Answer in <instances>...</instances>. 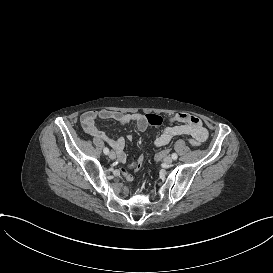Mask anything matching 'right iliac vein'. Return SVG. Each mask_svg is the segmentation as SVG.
<instances>
[{
  "label": "right iliac vein",
  "mask_w": 273,
  "mask_h": 273,
  "mask_svg": "<svg viewBox=\"0 0 273 273\" xmlns=\"http://www.w3.org/2000/svg\"><path fill=\"white\" fill-rule=\"evenodd\" d=\"M109 158L114 160L116 158V154L115 152L111 151L109 154H108Z\"/></svg>",
  "instance_id": "right-iliac-vein-1"
}]
</instances>
